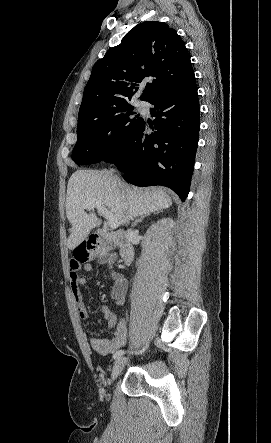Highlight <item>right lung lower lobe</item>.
Wrapping results in <instances>:
<instances>
[{
  "mask_svg": "<svg viewBox=\"0 0 271 443\" xmlns=\"http://www.w3.org/2000/svg\"><path fill=\"white\" fill-rule=\"evenodd\" d=\"M156 119L152 134L145 133L142 119L121 143L115 163L124 178L137 186L163 185L175 191L182 201L190 190L198 144L200 111L195 79L165 90L149 101Z\"/></svg>",
  "mask_w": 271,
  "mask_h": 443,
  "instance_id": "1",
  "label": "right lung lower lobe"
}]
</instances>
